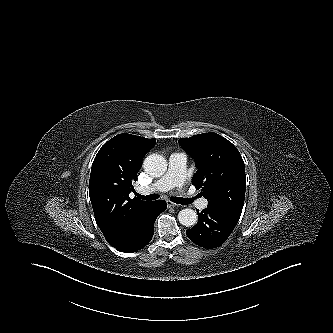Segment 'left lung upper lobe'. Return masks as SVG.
<instances>
[{"label": "left lung upper lobe", "mask_w": 333, "mask_h": 333, "mask_svg": "<svg viewBox=\"0 0 333 333\" xmlns=\"http://www.w3.org/2000/svg\"><path fill=\"white\" fill-rule=\"evenodd\" d=\"M198 168L192 184L202 188L208 205L240 218L246 189L244 162L237 148L216 133H203L179 139Z\"/></svg>", "instance_id": "5c2ea615"}]
</instances>
